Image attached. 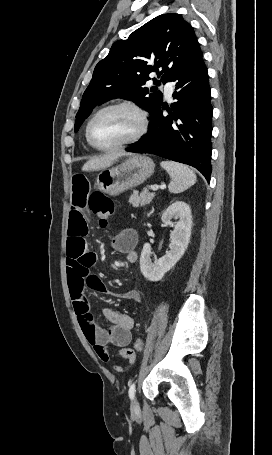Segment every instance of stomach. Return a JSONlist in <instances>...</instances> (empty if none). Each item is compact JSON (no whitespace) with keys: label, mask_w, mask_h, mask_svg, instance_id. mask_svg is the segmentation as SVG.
<instances>
[{"label":"stomach","mask_w":272,"mask_h":455,"mask_svg":"<svg viewBox=\"0 0 272 455\" xmlns=\"http://www.w3.org/2000/svg\"><path fill=\"white\" fill-rule=\"evenodd\" d=\"M155 164L145 155H133L123 163L102 170L96 177V187L105 194L116 196L146 181L153 173Z\"/></svg>","instance_id":"0dacf381"}]
</instances>
